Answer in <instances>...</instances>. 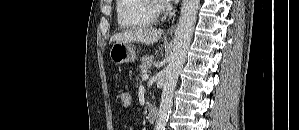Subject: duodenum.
<instances>
[{"mask_svg": "<svg viewBox=\"0 0 299 130\" xmlns=\"http://www.w3.org/2000/svg\"><path fill=\"white\" fill-rule=\"evenodd\" d=\"M158 111L155 107H150L148 109L147 120L149 123L153 124L157 120Z\"/></svg>", "mask_w": 299, "mask_h": 130, "instance_id": "duodenum-1", "label": "duodenum"}]
</instances>
